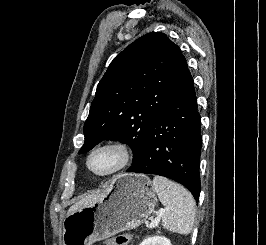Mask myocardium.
Returning <instances> with one entry per match:
<instances>
[{
    "instance_id": "1",
    "label": "myocardium",
    "mask_w": 266,
    "mask_h": 245,
    "mask_svg": "<svg viewBox=\"0 0 266 245\" xmlns=\"http://www.w3.org/2000/svg\"><path fill=\"white\" fill-rule=\"evenodd\" d=\"M107 147H113L116 148L120 154H121V160L120 163L118 164V166L108 172V173H97L95 171H93L90 167V160L92 158V156L99 150L103 149V148H107ZM132 157H133V153L132 150L130 148V146L128 144H126L123 141L120 140H116V139H112V140H106L103 141L97 145H95L94 147H92L86 157H85V161H84V166H85V170L86 172L94 177V178H98V179H109L112 178L118 174H120L121 172L125 171L128 166L130 165L131 161H132Z\"/></svg>"
}]
</instances>
